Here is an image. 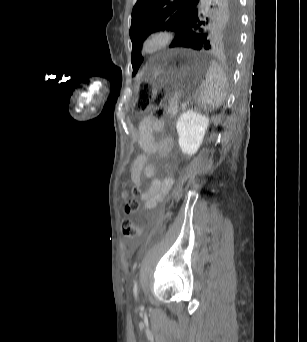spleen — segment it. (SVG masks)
<instances>
[{"label": "spleen", "instance_id": "1", "mask_svg": "<svg viewBox=\"0 0 307 342\" xmlns=\"http://www.w3.org/2000/svg\"><path fill=\"white\" fill-rule=\"evenodd\" d=\"M212 63L205 76L204 88L199 94V102H202L203 110H214L220 108L227 96V80L220 66L215 59L211 58Z\"/></svg>", "mask_w": 307, "mask_h": 342}]
</instances>
